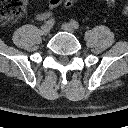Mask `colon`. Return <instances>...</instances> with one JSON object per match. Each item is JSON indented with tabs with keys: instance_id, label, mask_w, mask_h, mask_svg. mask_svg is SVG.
Listing matches in <instances>:
<instances>
[{
	"instance_id": "1",
	"label": "colon",
	"mask_w": 128,
	"mask_h": 128,
	"mask_svg": "<svg viewBox=\"0 0 128 128\" xmlns=\"http://www.w3.org/2000/svg\"><path fill=\"white\" fill-rule=\"evenodd\" d=\"M108 6H113L116 0H103ZM76 0H66L71 7ZM26 8V0H0V23L12 22L21 17ZM123 13L128 16V4L123 7Z\"/></svg>"
}]
</instances>
